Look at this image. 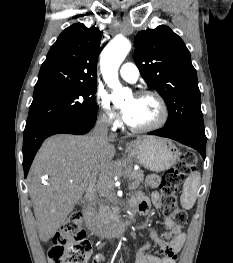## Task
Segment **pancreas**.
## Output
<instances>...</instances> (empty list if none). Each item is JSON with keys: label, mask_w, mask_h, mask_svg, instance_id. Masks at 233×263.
I'll use <instances>...</instances> for the list:
<instances>
[{"label": "pancreas", "mask_w": 233, "mask_h": 263, "mask_svg": "<svg viewBox=\"0 0 233 263\" xmlns=\"http://www.w3.org/2000/svg\"><path fill=\"white\" fill-rule=\"evenodd\" d=\"M129 179L132 182L129 184V188L135 190L140 187V184L144 181V172L142 170H133ZM114 208L109 206L107 202H102L99 205L98 212L93 216V222H100L101 224H108L114 218ZM88 222H90L88 220Z\"/></svg>", "instance_id": "cf45deb5"}]
</instances>
